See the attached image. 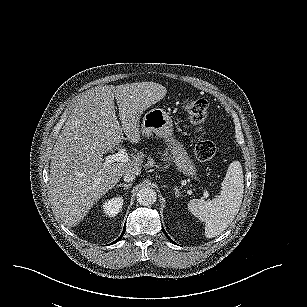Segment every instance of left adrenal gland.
Segmentation results:
<instances>
[{"mask_svg": "<svg viewBox=\"0 0 307 307\" xmlns=\"http://www.w3.org/2000/svg\"><path fill=\"white\" fill-rule=\"evenodd\" d=\"M174 190H175V197L182 196V194L180 193V190L178 189V187H175Z\"/></svg>", "mask_w": 307, "mask_h": 307, "instance_id": "obj_1", "label": "left adrenal gland"}]
</instances>
